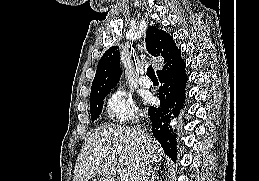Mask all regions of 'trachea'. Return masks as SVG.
Returning <instances> with one entry per match:
<instances>
[{"mask_svg":"<svg viewBox=\"0 0 259 181\" xmlns=\"http://www.w3.org/2000/svg\"><path fill=\"white\" fill-rule=\"evenodd\" d=\"M147 76L149 78H157L152 65H149L148 68H147Z\"/></svg>","mask_w":259,"mask_h":181,"instance_id":"trachea-1","label":"trachea"}]
</instances>
